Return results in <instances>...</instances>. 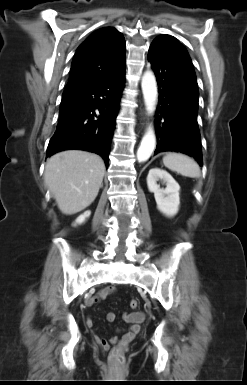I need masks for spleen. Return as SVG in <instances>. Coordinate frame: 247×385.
<instances>
[{"label": "spleen", "instance_id": "3e777b00", "mask_svg": "<svg viewBox=\"0 0 247 385\" xmlns=\"http://www.w3.org/2000/svg\"><path fill=\"white\" fill-rule=\"evenodd\" d=\"M163 164L170 170L186 177L198 178L201 174L199 165L184 154L168 153L163 157Z\"/></svg>", "mask_w": 247, "mask_h": 385}]
</instances>
